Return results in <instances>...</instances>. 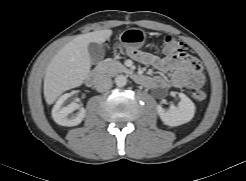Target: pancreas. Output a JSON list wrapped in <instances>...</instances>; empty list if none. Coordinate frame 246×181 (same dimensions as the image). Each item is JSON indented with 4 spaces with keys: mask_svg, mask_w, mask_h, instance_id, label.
<instances>
[{
    "mask_svg": "<svg viewBox=\"0 0 246 181\" xmlns=\"http://www.w3.org/2000/svg\"><path fill=\"white\" fill-rule=\"evenodd\" d=\"M98 69L101 73L109 75V76H114L117 73H121V72H127L128 70L119 61H115L112 59H106L102 61L99 64Z\"/></svg>",
    "mask_w": 246,
    "mask_h": 181,
    "instance_id": "cf45deb5",
    "label": "pancreas"
}]
</instances>
